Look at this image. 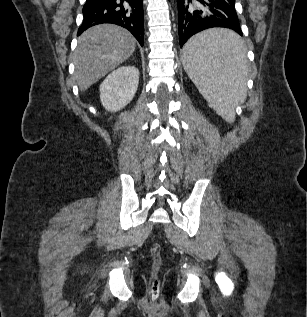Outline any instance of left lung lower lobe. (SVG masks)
Returning a JSON list of instances; mask_svg holds the SVG:
<instances>
[{"instance_id": "obj_1", "label": "left lung lower lobe", "mask_w": 307, "mask_h": 317, "mask_svg": "<svg viewBox=\"0 0 307 317\" xmlns=\"http://www.w3.org/2000/svg\"><path fill=\"white\" fill-rule=\"evenodd\" d=\"M204 6H209L213 15L201 16L202 10L192 9V0H178V29L180 47L194 34L212 27L229 28L242 36L235 0H197ZM241 45L231 42L221 47L224 60L239 56ZM183 53V52H182Z\"/></svg>"}]
</instances>
